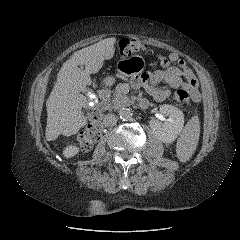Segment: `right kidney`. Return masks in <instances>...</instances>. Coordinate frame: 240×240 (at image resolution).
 <instances>
[{
	"mask_svg": "<svg viewBox=\"0 0 240 240\" xmlns=\"http://www.w3.org/2000/svg\"><path fill=\"white\" fill-rule=\"evenodd\" d=\"M78 152L79 148L77 146L70 145L63 150V155L65 158H71L75 156Z\"/></svg>",
	"mask_w": 240,
	"mask_h": 240,
	"instance_id": "obj_1",
	"label": "right kidney"
}]
</instances>
